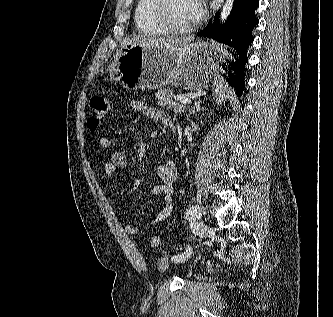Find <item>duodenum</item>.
<instances>
[{"mask_svg": "<svg viewBox=\"0 0 333 317\" xmlns=\"http://www.w3.org/2000/svg\"><path fill=\"white\" fill-rule=\"evenodd\" d=\"M172 130H174L175 129V127H174V125H173V123L171 122V123H169V125H168Z\"/></svg>", "mask_w": 333, "mask_h": 317, "instance_id": "410a0bca", "label": "duodenum"}]
</instances>
